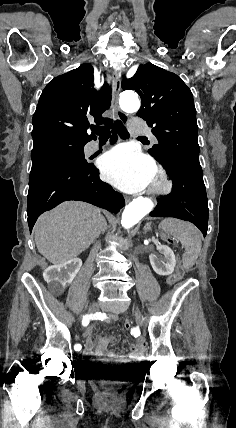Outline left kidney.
I'll return each mask as SVG.
<instances>
[{"label":"left kidney","mask_w":236,"mask_h":428,"mask_svg":"<svg viewBox=\"0 0 236 428\" xmlns=\"http://www.w3.org/2000/svg\"><path fill=\"white\" fill-rule=\"evenodd\" d=\"M156 250H158L159 254H162V256H155V254L149 256L150 264L154 272L159 274V276H170V274H173L176 266L174 252H172L169 246H156Z\"/></svg>","instance_id":"1"}]
</instances>
